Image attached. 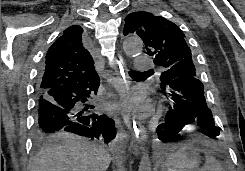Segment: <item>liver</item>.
<instances>
[{"label":"liver","instance_id":"6515ba94","mask_svg":"<svg viewBox=\"0 0 245 171\" xmlns=\"http://www.w3.org/2000/svg\"><path fill=\"white\" fill-rule=\"evenodd\" d=\"M109 153L71 133L50 136L33 160L31 171H106Z\"/></svg>","mask_w":245,"mask_h":171}]
</instances>
